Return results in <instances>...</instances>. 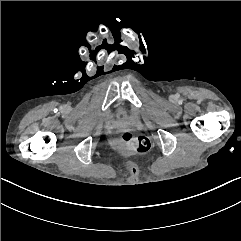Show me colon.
Segmentation results:
<instances>
[{"mask_svg":"<svg viewBox=\"0 0 241 241\" xmlns=\"http://www.w3.org/2000/svg\"><path fill=\"white\" fill-rule=\"evenodd\" d=\"M117 147L126 154L145 155L151 149V141L144 135L126 132L118 141Z\"/></svg>","mask_w":241,"mask_h":241,"instance_id":"obj_1","label":"colon"}]
</instances>
